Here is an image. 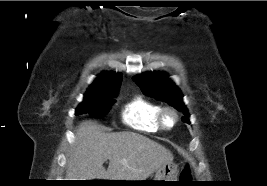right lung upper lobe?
<instances>
[{"label":"right lung upper lobe","mask_w":267,"mask_h":186,"mask_svg":"<svg viewBox=\"0 0 267 186\" xmlns=\"http://www.w3.org/2000/svg\"><path fill=\"white\" fill-rule=\"evenodd\" d=\"M122 82L120 73L105 72L99 75L87 92L118 91Z\"/></svg>","instance_id":"obj_1"}]
</instances>
